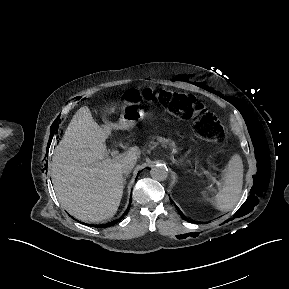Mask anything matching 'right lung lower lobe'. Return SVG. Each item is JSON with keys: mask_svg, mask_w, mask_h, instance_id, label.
Segmentation results:
<instances>
[{"mask_svg": "<svg viewBox=\"0 0 289 289\" xmlns=\"http://www.w3.org/2000/svg\"><path fill=\"white\" fill-rule=\"evenodd\" d=\"M130 203H131V200H130ZM129 208H130V204H129L127 210L125 211V213L123 214V216H125V215L127 214ZM123 216H122V217H123ZM122 217H121L120 219L114 220V221H112V222H110V223H108V224L101 225L100 227H108V226L115 225L117 222H119V221L122 219ZM93 226L98 227V226H96V225H93Z\"/></svg>", "mask_w": 289, "mask_h": 289, "instance_id": "1", "label": "right lung lower lobe"}]
</instances>
